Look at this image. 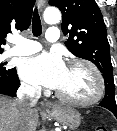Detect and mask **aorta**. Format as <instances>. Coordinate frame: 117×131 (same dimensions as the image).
Listing matches in <instances>:
<instances>
[{
    "label": "aorta",
    "instance_id": "762f6f07",
    "mask_svg": "<svg viewBox=\"0 0 117 131\" xmlns=\"http://www.w3.org/2000/svg\"><path fill=\"white\" fill-rule=\"evenodd\" d=\"M43 17L46 23L56 24L61 20V13L57 8H47Z\"/></svg>",
    "mask_w": 117,
    "mask_h": 131
}]
</instances>
